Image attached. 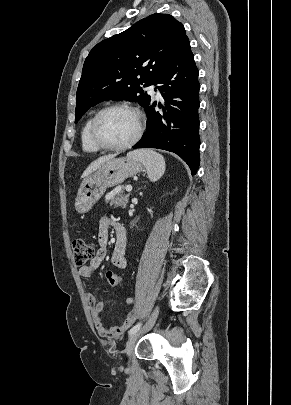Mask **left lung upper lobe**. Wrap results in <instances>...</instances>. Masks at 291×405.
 <instances>
[{"mask_svg": "<svg viewBox=\"0 0 291 405\" xmlns=\"http://www.w3.org/2000/svg\"><path fill=\"white\" fill-rule=\"evenodd\" d=\"M182 23L169 14H152L98 43L86 58L77 88L75 123L106 100L138 102L145 109L148 87L186 38Z\"/></svg>", "mask_w": 291, "mask_h": 405, "instance_id": "left-lung-upper-lobe-1", "label": "left lung upper lobe"}]
</instances>
